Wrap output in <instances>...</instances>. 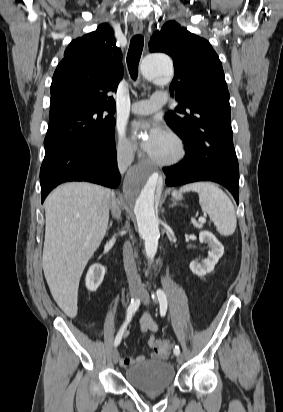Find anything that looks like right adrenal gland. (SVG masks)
Wrapping results in <instances>:
<instances>
[{
    "mask_svg": "<svg viewBox=\"0 0 283 412\" xmlns=\"http://www.w3.org/2000/svg\"><path fill=\"white\" fill-rule=\"evenodd\" d=\"M112 227V221L110 222V224H109V227L108 228H111Z\"/></svg>",
    "mask_w": 283,
    "mask_h": 412,
    "instance_id": "2a0ac1e0",
    "label": "right adrenal gland"
}]
</instances>
